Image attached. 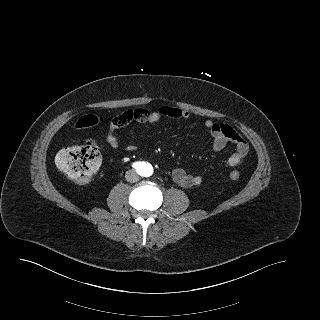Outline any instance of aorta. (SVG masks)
Returning <instances> with one entry per match:
<instances>
[{
    "label": "aorta",
    "mask_w": 320,
    "mask_h": 320,
    "mask_svg": "<svg viewBox=\"0 0 320 320\" xmlns=\"http://www.w3.org/2000/svg\"><path fill=\"white\" fill-rule=\"evenodd\" d=\"M152 172H153V170H152V168H149V169H147L146 171H145V176H151L152 175Z\"/></svg>",
    "instance_id": "1"
}]
</instances>
